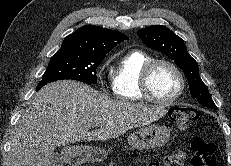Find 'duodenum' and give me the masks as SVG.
Here are the masks:
<instances>
[{"label": "duodenum", "instance_id": "obj_1", "mask_svg": "<svg viewBox=\"0 0 231 166\" xmlns=\"http://www.w3.org/2000/svg\"><path fill=\"white\" fill-rule=\"evenodd\" d=\"M71 157H72V154L70 152H67L64 154L65 159H71Z\"/></svg>", "mask_w": 231, "mask_h": 166}]
</instances>
